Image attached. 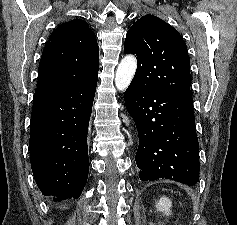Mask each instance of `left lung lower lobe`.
<instances>
[{
  "instance_id": "left-lung-lower-lobe-1",
  "label": "left lung lower lobe",
  "mask_w": 237,
  "mask_h": 225,
  "mask_svg": "<svg viewBox=\"0 0 237 225\" xmlns=\"http://www.w3.org/2000/svg\"><path fill=\"white\" fill-rule=\"evenodd\" d=\"M125 104L139 134L140 179L196 184L200 165L192 96L144 90L132 81Z\"/></svg>"
}]
</instances>
